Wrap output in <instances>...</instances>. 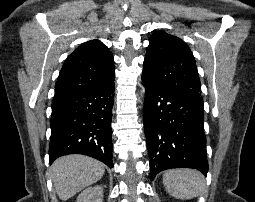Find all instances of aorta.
I'll use <instances>...</instances> for the list:
<instances>
[{
    "instance_id": "obj_1",
    "label": "aorta",
    "mask_w": 255,
    "mask_h": 202,
    "mask_svg": "<svg viewBox=\"0 0 255 202\" xmlns=\"http://www.w3.org/2000/svg\"><path fill=\"white\" fill-rule=\"evenodd\" d=\"M144 92H145V90L144 89H142V93L144 94Z\"/></svg>"
}]
</instances>
